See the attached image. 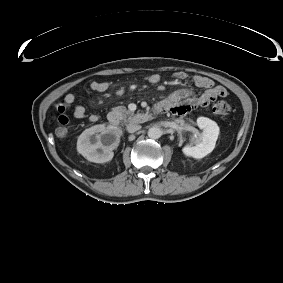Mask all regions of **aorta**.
<instances>
[{
  "label": "aorta",
  "instance_id": "1",
  "mask_svg": "<svg viewBox=\"0 0 283 283\" xmlns=\"http://www.w3.org/2000/svg\"><path fill=\"white\" fill-rule=\"evenodd\" d=\"M148 137L151 138V139H158L161 137L162 135V132H161V129L159 127H151L149 128L148 132Z\"/></svg>",
  "mask_w": 283,
  "mask_h": 283
}]
</instances>
